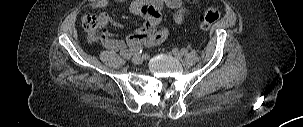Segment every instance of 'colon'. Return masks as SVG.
<instances>
[{
	"mask_svg": "<svg viewBox=\"0 0 303 127\" xmlns=\"http://www.w3.org/2000/svg\"><path fill=\"white\" fill-rule=\"evenodd\" d=\"M220 17V11L217 8L207 9L201 21V27L203 29L209 28ZM83 27L87 33V36L91 42L97 41L100 37V25L97 18L93 14H86L82 21Z\"/></svg>",
	"mask_w": 303,
	"mask_h": 127,
	"instance_id": "5ec220e1",
	"label": "colon"
}]
</instances>
